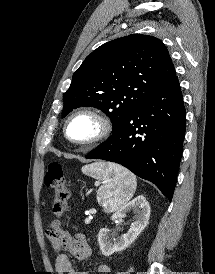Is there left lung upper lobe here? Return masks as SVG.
Wrapping results in <instances>:
<instances>
[{
	"label": "left lung upper lobe",
	"instance_id": "obj_1",
	"mask_svg": "<svg viewBox=\"0 0 215 274\" xmlns=\"http://www.w3.org/2000/svg\"><path fill=\"white\" fill-rule=\"evenodd\" d=\"M176 76L165 45L157 38L132 34L107 42L86 57L64 93L63 117L73 109L102 110L113 132L131 111Z\"/></svg>",
	"mask_w": 215,
	"mask_h": 274
}]
</instances>
